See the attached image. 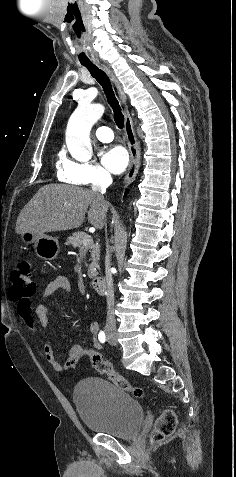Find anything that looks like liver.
Instances as JSON below:
<instances>
[{
  "label": "liver",
  "mask_w": 236,
  "mask_h": 477,
  "mask_svg": "<svg viewBox=\"0 0 236 477\" xmlns=\"http://www.w3.org/2000/svg\"><path fill=\"white\" fill-rule=\"evenodd\" d=\"M89 207V210L87 211ZM107 206L93 190L64 184L41 187L21 210L16 233L65 231L82 225L85 214L88 222L101 229L106 218Z\"/></svg>",
  "instance_id": "1"
}]
</instances>
